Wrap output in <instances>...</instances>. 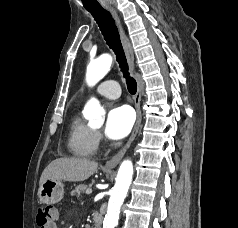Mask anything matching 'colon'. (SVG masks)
I'll return each mask as SVG.
<instances>
[{"mask_svg": "<svg viewBox=\"0 0 238 228\" xmlns=\"http://www.w3.org/2000/svg\"><path fill=\"white\" fill-rule=\"evenodd\" d=\"M58 210L54 206H42L38 209L36 222L39 228H50L57 220Z\"/></svg>", "mask_w": 238, "mask_h": 228, "instance_id": "colon-1", "label": "colon"}]
</instances>
